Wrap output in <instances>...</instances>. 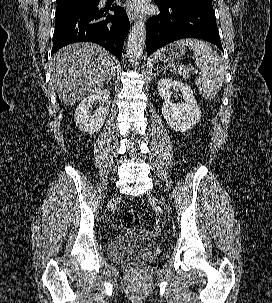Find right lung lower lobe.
<instances>
[{
	"instance_id": "obj_1",
	"label": "right lung lower lobe",
	"mask_w": 272,
	"mask_h": 303,
	"mask_svg": "<svg viewBox=\"0 0 272 303\" xmlns=\"http://www.w3.org/2000/svg\"><path fill=\"white\" fill-rule=\"evenodd\" d=\"M99 0L92 7L79 9L56 16L52 54L74 42L97 43L121 60L124 40L130 23L125 10L114 5L111 10L98 7Z\"/></svg>"
}]
</instances>
